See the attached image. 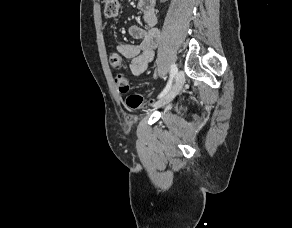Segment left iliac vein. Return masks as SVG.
<instances>
[{"instance_id": "1", "label": "left iliac vein", "mask_w": 292, "mask_h": 228, "mask_svg": "<svg viewBox=\"0 0 292 228\" xmlns=\"http://www.w3.org/2000/svg\"><path fill=\"white\" fill-rule=\"evenodd\" d=\"M184 82H185V74L183 71H179L177 76H176V79H175V82H174V85H173L171 91L166 96L161 98L156 103V106H161V105H164V104L170 102L180 92V90L182 89V87L184 85Z\"/></svg>"}]
</instances>
